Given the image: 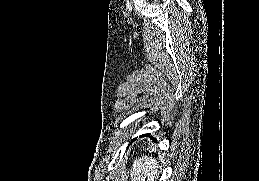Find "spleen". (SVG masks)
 <instances>
[{
  "mask_svg": "<svg viewBox=\"0 0 259 181\" xmlns=\"http://www.w3.org/2000/svg\"><path fill=\"white\" fill-rule=\"evenodd\" d=\"M159 174L157 161L148 156L136 158L130 171L131 181H155Z\"/></svg>",
  "mask_w": 259,
  "mask_h": 181,
  "instance_id": "1",
  "label": "spleen"
}]
</instances>
